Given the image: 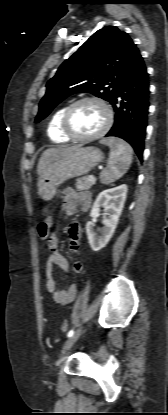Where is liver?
Listing matches in <instances>:
<instances>
[{"label":"liver","mask_w":168,"mask_h":415,"mask_svg":"<svg viewBox=\"0 0 168 415\" xmlns=\"http://www.w3.org/2000/svg\"><path fill=\"white\" fill-rule=\"evenodd\" d=\"M75 147L77 146L49 148L45 150L39 159V162L37 165V174L41 176L54 161L66 155L71 150H73Z\"/></svg>","instance_id":"6515ba94"}]
</instances>
